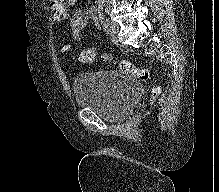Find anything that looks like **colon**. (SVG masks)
I'll return each mask as SVG.
<instances>
[{"instance_id":"5ec220e1","label":"colon","mask_w":219,"mask_h":192,"mask_svg":"<svg viewBox=\"0 0 219 192\" xmlns=\"http://www.w3.org/2000/svg\"><path fill=\"white\" fill-rule=\"evenodd\" d=\"M69 50H70V46L64 47V51H69ZM96 57H97V52L94 45L86 46L81 51L80 54V60L84 63H92L95 61ZM117 64L123 72L130 74L141 81H146L151 78V72L148 69L138 68L127 60H119ZM161 92H162V86L155 85L151 91L152 99L158 98Z\"/></svg>"}]
</instances>
